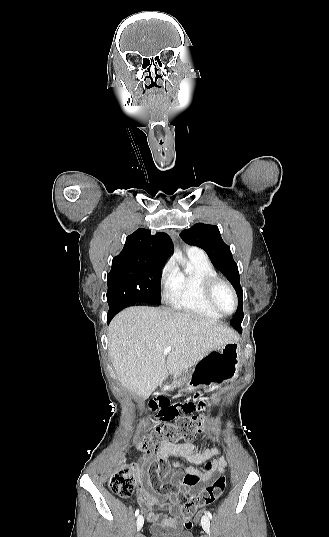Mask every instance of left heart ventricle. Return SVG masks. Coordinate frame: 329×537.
Segmentation results:
<instances>
[{
	"label": "left heart ventricle",
	"instance_id": "1",
	"mask_svg": "<svg viewBox=\"0 0 329 537\" xmlns=\"http://www.w3.org/2000/svg\"><path fill=\"white\" fill-rule=\"evenodd\" d=\"M215 301L217 305L225 312H231L234 308L233 296L225 287H219L216 290Z\"/></svg>",
	"mask_w": 329,
	"mask_h": 537
}]
</instances>
